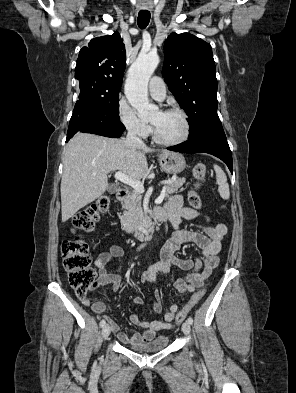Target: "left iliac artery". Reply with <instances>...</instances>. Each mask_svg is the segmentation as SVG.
I'll use <instances>...</instances> for the list:
<instances>
[{"mask_svg":"<svg viewBox=\"0 0 296 393\" xmlns=\"http://www.w3.org/2000/svg\"><path fill=\"white\" fill-rule=\"evenodd\" d=\"M187 321H188L189 324H192V323H193L192 317H189V318L187 319Z\"/></svg>","mask_w":296,"mask_h":393,"instance_id":"1","label":"left iliac artery"}]
</instances>
